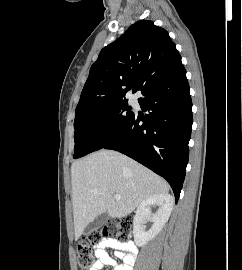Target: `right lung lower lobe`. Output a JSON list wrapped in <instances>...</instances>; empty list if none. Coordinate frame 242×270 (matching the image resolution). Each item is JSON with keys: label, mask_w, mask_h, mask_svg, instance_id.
<instances>
[{"label": "right lung lower lobe", "mask_w": 242, "mask_h": 270, "mask_svg": "<svg viewBox=\"0 0 242 270\" xmlns=\"http://www.w3.org/2000/svg\"><path fill=\"white\" fill-rule=\"evenodd\" d=\"M141 93L139 103L148 114L133 113L102 148L119 151L164 177L177 202L193 123L189 84L182 63L157 77Z\"/></svg>", "instance_id": "right-lung-lower-lobe-1"}]
</instances>
